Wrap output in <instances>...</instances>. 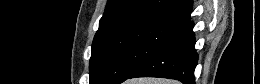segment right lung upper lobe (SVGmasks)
I'll use <instances>...</instances> for the list:
<instances>
[{
  "instance_id": "obj_1",
  "label": "right lung upper lobe",
  "mask_w": 260,
  "mask_h": 84,
  "mask_svg": "<svg viewBox=\"0 0 260 84\" xmlns=\"http://www.w3.org/2000/svg\"><path fill=\"white\" fill-rule=\"evenodd\" d=\"M191 9L192 0H108L94 41L134 24L179 27Z\"/></svg>"
}]
</instances>
